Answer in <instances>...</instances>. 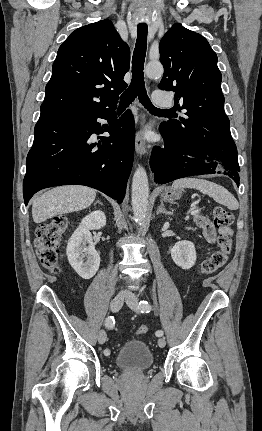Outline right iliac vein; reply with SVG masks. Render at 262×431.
<instances>
[{
    "label": "right iliac vein",
    "instance_id": "right-iliac-vein-1",
    "mask_svg": "<svg viewBox=\"0 0 262 431\" xmlns=\"http://www.w3.org/2000/svg\"><path fill=\"white\" fill-rule=\"evenodd\" d=\"M125 298V293L124 292H120L118 293L111 301V310L113 312H117L124 301ZM107 340V335L106 332L104 330H100L99 334H98V342L100 344H104Z\"/></svg>",
    "mask_w": 262,
    "mask_h": 431
}]
</instances>
